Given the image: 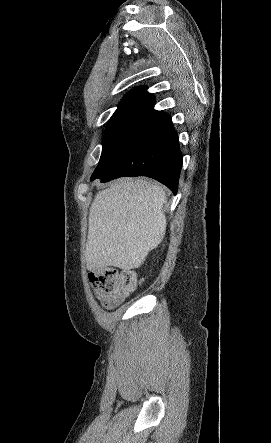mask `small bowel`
Returning a JSON list of instances; mask_svg holds the SVG:
<instances>
[{
    "label": "small bowel",
    "mask_w": 271,
    "mask_h": 443,
    "mask_svg": "<svg viewBox=\"0 0 271 443\" xmlns=\"http://www.w3.org/2000/svg\"><path fill=\"white\" fill-rule=\"evenodd\" d=\"M94 294L97 297V299L99 300V302L101 303V305L106 309H114V308L118 307L123 302V299L115 298L110 295H106V294L101 293L97 290H95Z\"/></svg>",
    "instance_id": "obj_1"
}]
</instances>
